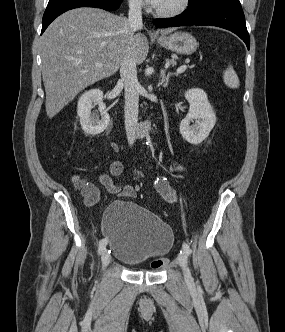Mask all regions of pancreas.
<instances>
[{"instance_id":"1","label":"pancreas","mask_w":285,"mask_h":332,"mask_svg":"<svg viewBox=\"0 0 285 332\" xmlns=\"http://www.w3.org/2000/svg\"><path fill=\"white\" fill-rule=\"evenodd\" d=\"M169 61L172 63V65L176 64V62L174 60H169Z\"/></svg>"}]
</instances>
